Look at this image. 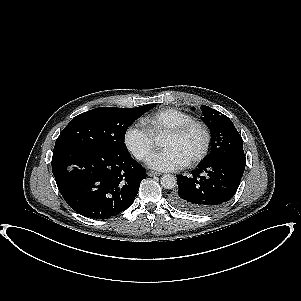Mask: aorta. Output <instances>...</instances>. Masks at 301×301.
<instances>
[{
  "label": "aorta",
  "instance_id": "762f6f07",
  "mask_svg": "<svg viewBox=\"0 0 301 301\" xmlns=\"http://www.w3.org/2000/svg\"><path fill=\"white\" fill-rule=\"evenodd\" d=\"M160 183L165 189H173L177 185V179L172 174H164L160 179Z\"/></svg>",
  "mask_w": 301,
  "mask_h": 301
}]
</instances>
